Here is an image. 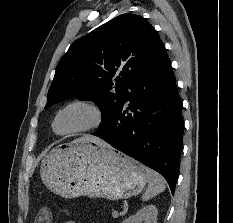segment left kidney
Segmentation results:
<instances>
[{"label":"left kidney","mask_w":233,"mask_h":223,"mask_svg":"<svg viewBox=\"0 0 233 223\" xmlns=\"http://www.w3.org/2000/svg\"><path fill=\"white\" fill-rule=\"evenodd\" d=\"M158 209L156 205H145L142 209H139L134 215H130L127 219H124L122 223H157Z\"/></svg>","instance_id":"left-kidney-1"}]
</instances>
